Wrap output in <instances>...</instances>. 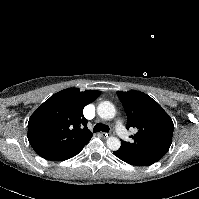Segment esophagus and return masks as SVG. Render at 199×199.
<instances>
[{"mask_svg": "<svg viewBox=\"0 0 199 199\" xmlns=\"http://www.w3.org/2000/svg\"><path fill=\"white\" fill-rule=\"evenodd\" d=\"M114 133L113 132H109V133H106V132H102L101 135L103 137H109V136H112Z\"/></svg>", "mask_w": 199, "mask_h": 199, "instance_id": "1", "label": "esophagus"}]
</instances>
